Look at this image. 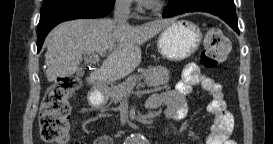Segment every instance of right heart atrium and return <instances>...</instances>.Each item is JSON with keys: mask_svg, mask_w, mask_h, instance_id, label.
<instances>
[{"mask_svg": "<svg viewBox=\"0 0 273 144\" xmlns=\"http://www.w3.org/2000/svg\"><path fill=\"white\" fill-rule=\"evenodd\" d=\"M115 4L119 9L128 11L131 8L132 2L131 0H116Z\"/></svg>", "mask_w": 273, "mask_h": 144, "instance_id": "obj_1", "label": "right heart atrium"}]
</instances>
